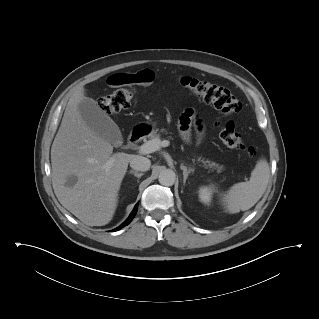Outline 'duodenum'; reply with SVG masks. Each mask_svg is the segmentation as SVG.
Listing matches in <instances>:
<instances>
[{"mask_svg":"<svg viewBox=\"0 0 319 319\" xmlns=\"http://www.w3.org/2000/svg\"><path fill=\"white\" fill-rule=\"evenodd\" d=\"M148 132L147 127L141 126L134 129L128 137V141L130 144H134L138 142L145 134Z\"/></svg>","mask_w":319,"mask_h":319,"instance_id":"obj_1","label":"duodenum"}]
</instances>
